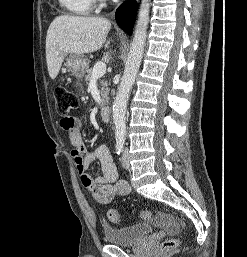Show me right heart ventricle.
I'll return each instance as SVG.
<instances>
[{
  "instance_id": "right-heart-ventricle-1",
  "label": "right heart ventricle",
  "mask_w": 247,
  "mask_h": 257,
  "mask_svg": "<svg viewBox=\"0 0 247 257\" xmlns=\"http://www.w3.org/2000/svg\"><path fill=\"white\" fill-rule=\"evenodd\" d=\"M95 0H59L60 5L73 15H87L91 12Z\"/></svg>"
}]
</instances>
